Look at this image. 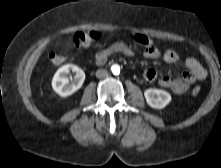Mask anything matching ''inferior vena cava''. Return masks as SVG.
Segmentation results:
<instances>
[{
	"label": "inferior vena cava",
	"instance_id": "1",
	"mask_svg": "<svg viewBox=\"0 0 221 168\" xmlns=\"http://www.w3.org/2000/svg\"><path fill=\"white\" fill-rule=\"evenodd\" d=\"M108 76V71L105 69H99L96 71V77L97 78H105Z\"/></svg>",
	"mask_w": 221,
	"mask_h": 168
}]
</instances>
